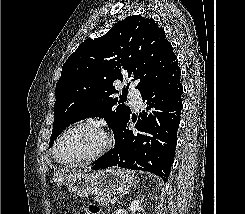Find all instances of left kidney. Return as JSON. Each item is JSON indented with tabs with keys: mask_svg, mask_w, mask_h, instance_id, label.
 Masks as SVG:
<instances>
[{
	"mask_svg": "<svg viewBox=\"0 0 245 214\" xmlns=\"http://www.w3.org/2000/svg\"><path fill=\"white\" fill-rule=\"evenodd\" d=\"M129 209L132 212V214H141V212L143 211L141 202L139 200L132 201V203L129 206Z\"/></svg>",
	"mask_w": 245,
	"mask_h": 214,
	"instance_id": "left-kidney-1",
	"label": "left kidney"
}]
</instances>
